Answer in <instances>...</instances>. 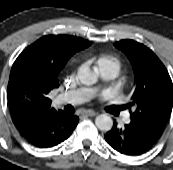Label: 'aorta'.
Returning a JSON list of instances; mask_svg holds the SVG:
<instances>
[{
	"label": "aorta",
	"instance_id": "1",
	"mask_svg": "<svg viewBox=\"0 0 173 170\" xmlns=\"http://www.w3.org/2000/svg\"><path fill=\"white\" fill-rule=\"evenodd\" d=\"M78 78L84 85H93L97 81V75L87 67L80 68ZM96 127L104 132L110 131L113 126L112 118L107 114H101L95 119Z\"/></svg>",
	"mask_w": 173,
	"mask_h": 170
}]
</instances>
